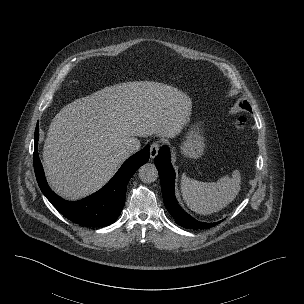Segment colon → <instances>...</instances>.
I'll return each instance as SVG.
<instances>
[{"mask_svg":"<svg viewBox=\"0 0 304 304\" xmlns=\"http://www.w3.org/2000/svg\"><path fill=\"white\" fill-rule=\"evenodd\" d=\"M245 125H246V120L244 117H238L234 121V127L238 132H242L245 128Z\"/></svg>","mask_w":304,"mask_h":304,"instance_id":"obj_1","label":"colon"}]
</instances>
